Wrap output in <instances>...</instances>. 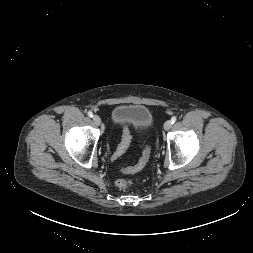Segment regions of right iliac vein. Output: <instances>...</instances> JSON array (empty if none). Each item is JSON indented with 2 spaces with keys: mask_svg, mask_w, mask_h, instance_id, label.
<instances>
[{
  "mask_svg": "<svg viewBox=\"0 0 253 253\" xmlns=\"http://www.w3.org/2000/svg\"><path fill=\"white\" fill-rule=\"evenodd\" d=\"M93 121H94V123H95L97 126H99V125L101 124V119H100V117H99L98 115H94V116H93Z\"/></svg>",
  "mask_w": 253,
  "mask_h": 253,
  "instance_id": "63e3f726",
  "label": "right iliac vein"
}]
</instances>
